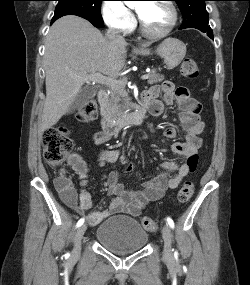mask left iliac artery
Listing matches in <instances>:
<instances>
[{
	"label": "left iliac artery",
	"instance_id": "left-iliac-artery-1",
	"mask_svg": "<svg viewBox=\"0 0 250 285\" xmlns=\"http://www.w3.org/2000/svg\"><path fill=\"white\" fill-rule=\"evenodd\" d=\"M167 223L169 224V226L171 228H174V222H173V220L170 217H167Z\"/></svg>",
	"mask_w": 250,
	"mask_h": 285
}]
</instances>
